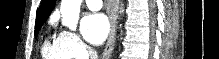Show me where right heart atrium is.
Segmentation results:
<instances>
[{
	"label": "right heart atrium",
	"instance_id": "obj_1",
	"mask_svg": "<svg viewBox=\"0 0 219 59\" xmlns=\"http://www.w3.org/2000/svg\"><path fill=\"white\" fill-rule=\"evenodd\" d=\"M65 48L72 58H84L89 55L90 48L74 32L63 30L60 32Z\"/></svg>",
	"mask_w": 219,
	"mask_h": 59
}]
</instances>
